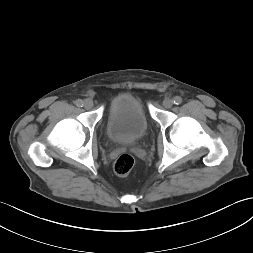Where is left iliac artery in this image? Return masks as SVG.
Returning <instances> with one entry per match:
<instances>
[{"label":"left iliac artery","instance_id":"obj_1","mask_svg":"<svg viewBox=\"0 0 253 253\" xmlns=\"http://www.w3.org/2000/svg\"><path fill=\"white\" fill-rule=\"evenodd\" d=\"M174 104L179 105L182 103V98L179 96L174 97L173 99Z\"/></svg>","mask_w":253,"mask_h":253}]
</instances>
